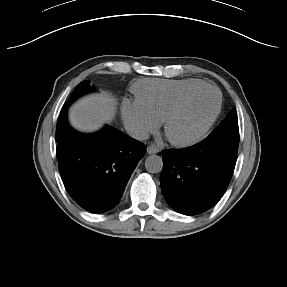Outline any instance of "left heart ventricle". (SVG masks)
I'll list each match as a JSON object with an SVG mask.
<instances>
[{
	"mask_svg": "<svg viewBox=\"0 0 287 287\" xmlns=\"http://www.w3.org/2000/svg\"><path fill=\"white\" fill-rule=\"evenodd\" d=\"M216 105L212 90H201L191 96L178 117L172 122L169 134L175 139L195 135L206 123Z\"/></svg>",
	"mask_w": 287,
	"mask_h": 287,
	"instance_id": "1",
	"label": "left heart ventricle"
}]
</instances>
